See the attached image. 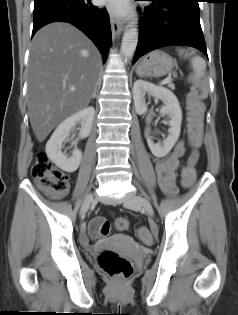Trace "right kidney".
<instances>
[{
	"label": "right kidney",
	"mask_w": 238,
	"mask_h": 315,
	"mask_svg": "<svg viewBox=\"0 0 238 315\" xmlns=\"http://www.w3.org/2000/svg\"><path fill=\"white\" fill-rule=\"evenodd\" d=\"M95 115V109L90 106L65 119L54 131L46 144V153L49 159L65 172H75L82 160V152L75 148L72 156L68 157L61 151L63 142L68 138L70 130L77 124H81L79 138L89 136Z\"/></svg>",
	"instance_id": "ca27d5eb"
}]
</instances>
